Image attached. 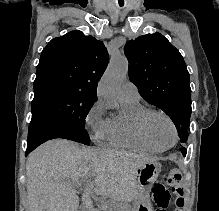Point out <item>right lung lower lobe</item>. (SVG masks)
I'll list each match as a JSON object with an SVG mask.
<instances>
[{
    "label": "right lung lower lobe",
    "instance_id": "1",
    "mask_svg": "<svg viewBox=\"0 0 219 211\" xmlns=\"http://www.w3.org/2000/svg\"><path fill=\"white\" fill-rule=\"evenodd\" d=\"M55 138L73 140L90 145L82 132L51 121H36L29 125L26 156L40 144Z\"/></svg>",
    "mask_w": 219,
    "mask_h": 211
}]
</instances>
